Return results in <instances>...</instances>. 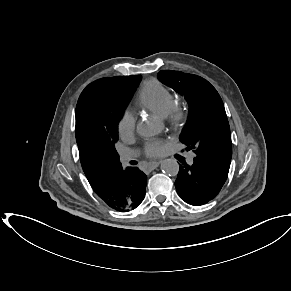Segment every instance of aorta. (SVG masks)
<instances>
[{
    "instance_id": "1",
    "label": "aorta",
    "mask_w": 291,
    "mask_h": 291,
    "mask_svg": "<svg viewBox=\"0 0 291 291\" xmlns=\"http://www.w3.org/2000/svg\"><path fill=\"white\" fill-rule=\"evenodd\" d=\"M137 133L144 137H151L156 134V127L148 120H142L137 124ZM161 170L169 176H175L179 172V164L175 159L169 158L161 163Z\"/></svg>"
}]
</instances>
